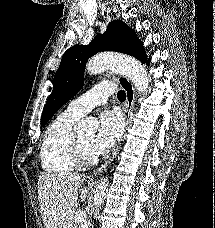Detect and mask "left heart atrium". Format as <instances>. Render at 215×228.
<instances>
[{"mask_svg":"<svg viewBox=\"0 0 215 228\" xmlns=\"http://www.w3.org/2000/svg\"><path fill=\"white\" fill-rule=\"evenodd\" d=\"M122 117L115 111L103 113L99 118L98 132L93 140L92 150L100 155L112 148L123 133Z\"/></svg>","mask_w":215,"mask_h":228,"instance_id":"1","label":"left heart atrium"}]
</instances>
